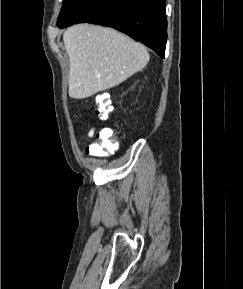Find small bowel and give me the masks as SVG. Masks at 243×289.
<instances>
[{"label": "small bowel", "mask_w": 243, "mask_h": 289, "mask_svg": "<svg viewBox=\"0 0 243 289\" xmlns=\"http://www.w3.org/2000/svg\"><path fill=\"white\" fill-rule=\"evenodd\" d=\"M94 133H95V129L92 128V129L89 130L88 136H89V137H92V136L94 135Z\"/></svg>", "instance_id": "obj_1"}]
</instances>
